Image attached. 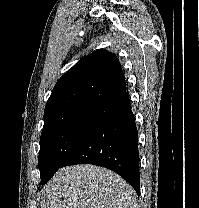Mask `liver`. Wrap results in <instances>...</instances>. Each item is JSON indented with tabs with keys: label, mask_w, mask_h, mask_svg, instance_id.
<instances>
[{
	"label": "liver",
	"mask_w": 199,
	"mask_h": 208,
	"mask_svg": "<svg viewBox=\"0 0 199 208\" xmlns=\"http://www.w3.org/2000/svg\"><path fill=\"white\" fill-rule=\"evenodd\" d=\"M41 192V208L138 206L134 189L118 174L89 164L59 169Z\"/></svg>",
	"instance_id": "6515ba94"
}]
</instances>
